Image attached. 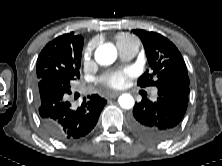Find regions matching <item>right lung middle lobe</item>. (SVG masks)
Listing matches in <instances>:
<instances>
[{"label":"right lung middle lobe","mask_w":222,"mask_h":166,"mask_svg":"<svg viewBox=\"0 0 222 166\" xmlns=\"http://www.w3.org/2000/svg\"><path fill=\"white\" fill-rule=\"evenodd\" d=\"M71 40L64 46L46 45L37 59V79L58 75L71 82L80 76L79 67L84 39L71 34Z\"/></svg>","instance_id":"dd1d6c3e"}]
</instances>
